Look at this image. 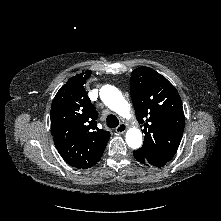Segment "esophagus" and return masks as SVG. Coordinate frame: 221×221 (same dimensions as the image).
Here are the masks:
<instances>
[{
    "label": "esophagus",
    "instance_id": "esophagus-1",
    "mask_svg": "<svg viewBox=\"0 0 221 221\" xmlns=\"http://www.w3.org/2000/svg\"><path fill=\"white\" fill-rule=\"evenodd\" d=\"M127 126L124 123H121L117 128H116V132L119 134H122L126 131Z\"/></svg>",
    "mask_w": 221,
    "mask_h": 221
}]
</instances>
